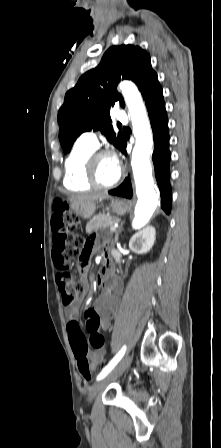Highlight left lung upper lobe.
<instances>
[{
	"label": "left lung upper lobe",
	"instance_id": "left-lung-upper-lobe-1",
	"mask_svg": "<svg viewBox=\"0 0 221 448\" xmlns=\"http://www.w3.org/2000/svg\"><path fill=\"white\" fill-rule=\"evenodd\" d=\"M121 79L136 83L143 98L161 87L156 72L151 67L149 54L137 45L110 47L99 65L83 74L76 86L65 95L58 112L59 140L68 153L83 132L100 130L119 150L125 142L124 135L113 131L110 108L119 102L125 106L116 86Z\"/></svg>",
	"mask_w": 221,
	"mask_h": 448
}]
</instances>
